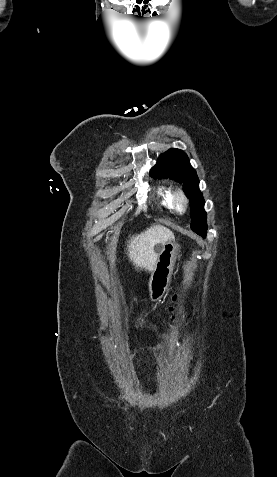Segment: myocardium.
<instances>
[{
	"instance_id": "1",
	"label": "myocardium",
	"mask_w": 277,
	"mask_h": 477,
	"mask_svg": "<svg viewBox=\"0 0 277 477\" xmlns=\"http://www.w3.org/2000/svg\"><path fill=\"white\" fill-rule=\"evenodd\" d=\"M172 205L178 213H184L189 206V199L185 192L177 189L172 193Z\"/></svg>"
}]
</instances>
